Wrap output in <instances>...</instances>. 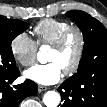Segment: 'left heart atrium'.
Returning <instances> with one entry per match:
<instances>
[{"label": "left heart atrium", "mask_w": 107, "mask_h": 107, "mask_svg": "<svg viewBox=\"0 0 107 107\" xmlns=\"http://www.w3.org/2000/svg\"><path fill=\"white\" fill-rule=\"evenodd\" d=\"M25 77L41 85L57 83L63 76V68L59 63L51 61L47 64H38L24 73Z\"/></svg>", "instance_id": "39dd6f15"}]
</instances>
